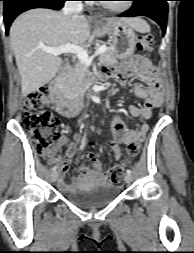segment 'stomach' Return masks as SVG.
Returning a JSON list of instances; mask_svg holds the SVG:
<instances>
[{
  "label": "stomach",
  "mask_w": 194,
  "mask_h": 253,
  "mask_svg": "<svg viewBox=\"0 0 194 253\" xmlns=\"http://www.w3.org/2000/svg\"><path fill=\"white\" fill-rule=\"evenodd\" d=\"M109 35L117 58L125 59L134 53L137 37L131 26L118 21L111 26Z\"/></svg>",
  "instance_id": "obj_1"
}]
</instances>
